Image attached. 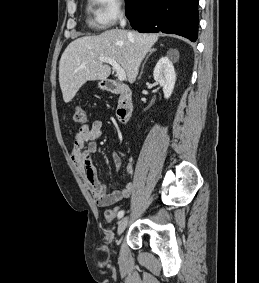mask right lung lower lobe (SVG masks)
Wrapping results in <instances>:
<instances>
[{"mask_svg":"<svg viewBox=\"0 0 259 283\" xmlns=\"http://www.w3.org/2000/svg\"><path fill=\"white\" fill-rule=\"evenodd\" d=\"M198 0H126V16L139 32L198 37Z\"/></svg>","mask_w":259,"mask_h":283,"instance_id":"1","label":"right lung lower lobe"}]
</instances>
